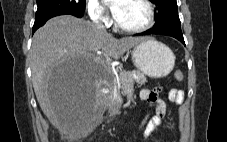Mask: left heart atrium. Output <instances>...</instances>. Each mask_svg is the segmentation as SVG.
<instances>
[{
	"label": "left heart atrium",
	"mask_w": 227,
	"mask_h": 142,
	"mask_svg": "<svg viewBox=\"0 0 227 142\" xmlns=\"http://www.w3.org/2000/svg\"><path fill=\"white\" fill-rule=\"evenodd\" d=\"M125 1L126 0H105L115 18L120 14Z\"/></svg>",
	"instance_id": "39dd6f15"
}]
</instances>
